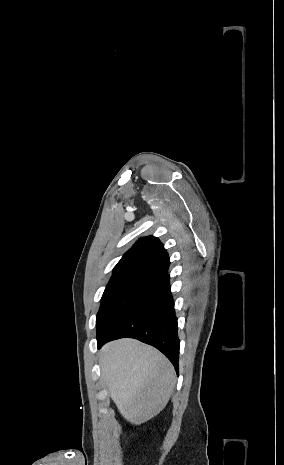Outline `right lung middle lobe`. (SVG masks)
Here are the masks:
<instances>
[{"label": "right lung middle lobe", "instance_id": "right-lung-middle-lobe-1", "mask_svg": "<svg viewBox=\"0 0 284 465\" xmlns=\"http://www.w3.org/2000/svg\"><path fill=\"white\" fill-rule=\"evenodd\" d=\"M155 281L123 277L110 279L96 317L97 337L128 310Z\"/></svg>", "mask_w": 284, "mask_h": 465}]
</instances>
